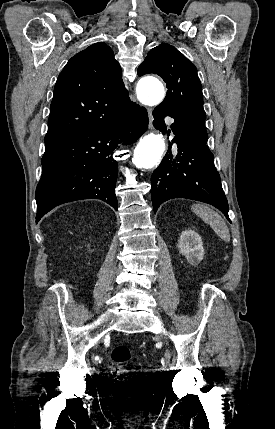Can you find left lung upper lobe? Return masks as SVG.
I'll return each mask as SVG.
<instances>
[{
    "mask_svg": "<svg viewBox=\"0 0 275 429\" xmlns=\"http://www.w3.org/2000/svg\"><path fill=\"white\" fill-rule=\"evenodd\" d=\"M148 73L157 74L166 82L167 96L159 106L206 132L202 86L195 65L175 47L161 43L149 51L138 68L139 76Z\"/></svg>",
    "mask_w": 275,
    "mask_h": 429,
    "instance_id": "1",
    "label": "left lung upper lobe"
}]
</instances>
